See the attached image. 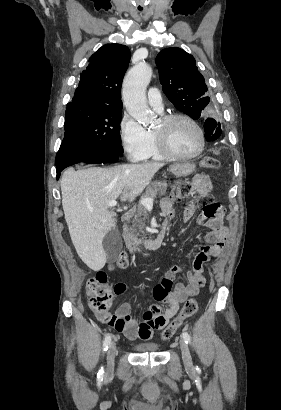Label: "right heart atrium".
Returning <instances> with one entry per match:
<instances>
[{"mask_svg":"<svg viewBox=\"0 0 281 410\" xmlns=\"http://www.w3.org/2000/svg\"><path fill=\"white\" fill-rule=\"evenodd\" d=\"M121 146L127 157L139 161L149 142V132L134 118L124 115L119 125Z\"/></svg>","mask_w":281,"mask_h":410,"instance_id":"1","label":"right heart atrium"}]
</instances>
